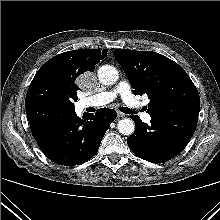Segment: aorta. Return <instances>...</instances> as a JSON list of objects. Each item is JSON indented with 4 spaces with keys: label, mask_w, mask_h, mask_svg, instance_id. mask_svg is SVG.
<instances>
[{
    "label": "aorta",
    "mask_w": 220,
    "mask_h": 220,
    "mask_svg": "<svg viewBox=\"0 0 220 220\" xmlns=\"http://www.w3.org/2000/svg\"><path fill=\"white\" fill-rule=\"evenodd\" d=\"M99 81L104 85H112L119 79L118 70L111 65H103L98 70ZM118 131L123 135H132L135 131V124L130 118L119 120Z\"/></svg>",
    "instance_id": "aorta-1"
}]
</instances>
